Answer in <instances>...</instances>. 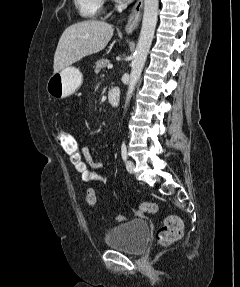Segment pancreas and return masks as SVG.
Instances as JSON below:
<instances>
[{"label":"pancreas","instance_id":"obj_1","mask_svg":"<svg viewBox=\"0 0 240 287\" xmlns=\"http://www.w3.org/2000/svg\"><path fill=\"white\" fill-rule=\"evenodd\" d=\"M109 63L110 60L107 58L99 59L98 61H96L95 65L93 66L95 73L98 74L101 69H104Z\"/></svg>","mask_w":240,"mask_h":287}]
</instances>
